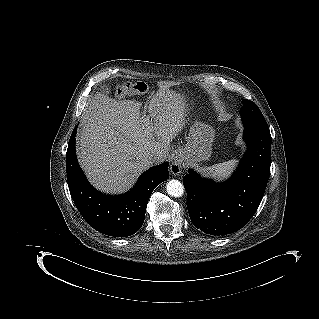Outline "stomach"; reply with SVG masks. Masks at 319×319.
I'll list each match as a JSON object with an SVG mask.
<instances>
[{
	"instance_id": "obj_1",
	"label": "stomach",
	"mask_w": 319,
	"mask_h": 319,
	"mask_svg": "<svg viewBox=\"0 0 319 319\" xmlns=\"http://www.w3.org/2000/svg\"><path fill=\"white\" fill-rule=\"evenodd\" d=\"M214 129L208 124L195 122L189 130L186 144L181 149V163L186 166L196 165L208 160L212 153Z\"/></svg>"
}]
</instances>
